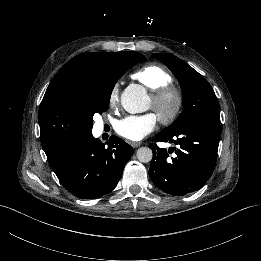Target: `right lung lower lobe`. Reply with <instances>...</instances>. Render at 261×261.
<instances>
[{"instance_id": "obj_1", "label": "right lung lower lobe", "mask_w": 261, "mask_h": 261, "mask_svg": "<svg viewBox=\"0 0 261 261\" xmlns=\"http://www.w3.org/2000/svg\"><path fill=\"white\" fill-rule=\"evenodd\" d=\"M106 144L90 133L47 157L61 184L77 198L96 199L117 185L133 148L114 135Z\"/></svg>"}]
</instances>
